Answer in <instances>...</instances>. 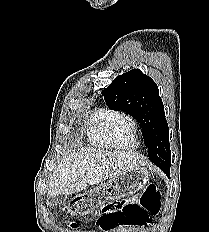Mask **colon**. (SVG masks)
Masks as SVG:
<instances>
[{
    "label": "colon",
    "mask_w": 209,
    "mask_h": 232,
    "mask_svg": "<svg viewBox=\"0 0 209 232\" xmlns=\"http://www.w3.org/2000/svg\"><path fill=\"white\" fill-rule=\"evenodd\" d=\"M160 206L159 190L154 184L150 183L145 186L138 198L103 206L98 220L103 228L134 225L149 226L150 217L159 213Z\"/></svg>",
    "instance_id": "obj_1"
}]
</instances>
